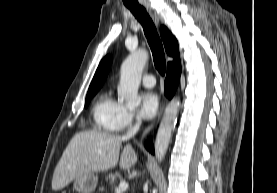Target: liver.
Here are the masks:
<instances>
[{
    "instance_id": "obj_1",
    "label": "liver",
    "mask_w": 277,
    "mask_h": 193,
    "mask_svg": "<svg viewBox=\"0 0 277 193\" xmlns=\"http://www.w3.org/2000/svg\"><path fill=\"white\" fill-rule=\"evenodd\" d=\"M126 140L125 136L99 130L75 134L54 170L52 189L61 190L79 175L108 170L118 162L120 168H130L137 162V154L130 144L124 147L119 161L120 147Z\"/></svg>"
}]
</instances>
